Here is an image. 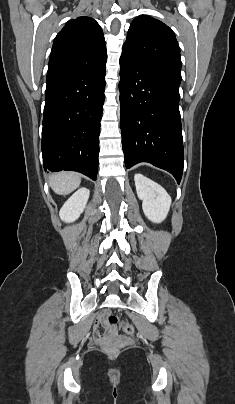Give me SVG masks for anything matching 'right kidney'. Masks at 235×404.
Segmentation results:
<instances>
[{"label":"right kidney","mask_w":235,"mask_h":404,"mask_svg":"<svg viewBox=\"0 0 235 404\" xmlns=\"http://www.w3.org/2000/svg\"><path fill=\"white\" fill-rule=\"evenodd\" d=\"M89 195L90 191L87 188L76 191L60 209V218L65 222H73L78 219L86 207Z\"/></svg>","instance_id":"1"}]
</instances>
